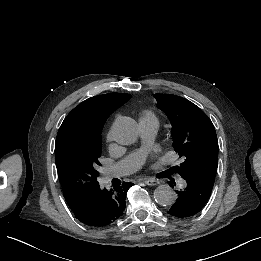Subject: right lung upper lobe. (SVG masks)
Returning <instances> with one entry per match:
<instances>
[{
    "mask_svg": "<svg viewBox=\"0 0 261 261\" xmlns=\"http://www.w3.org/2000/svg\"><path fill=\"white\" fill-rule=\"evenodd\" d=\"M130 98V94L108 93L83 101L64 119L57 136L74 126L83 127L101 135L103 125L109 115Z\"/></svg>",
    "mask_w": 261,
    "mask_h": 261,
    "instance_id": "right-lung-upper-lobe-1",
    "label": "right lung upper lobe"
}]
</instances>
